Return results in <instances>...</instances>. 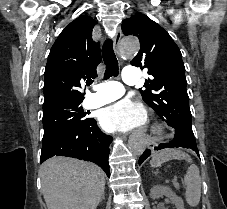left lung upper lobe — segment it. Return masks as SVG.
I'll return each instance as SVG.
<instances>
[{
    "label": "left lung upper lobe",
    "instance_id": "left-lung-upper-lobe-1",
    "mask_svg": "<svg viewBox=\"0 0 227 209\" xmlns=\"http://www.w3.org/2000/svg\"><path fill=\"white\" fill-rule=\"evenodd\" d=\"M124 35L139 38L140 50L131 65L148 69L142 98L158 116L185 138L196 142L191 126L182 55L171 36L156 22L138 13L122 24Z\"/></svg>",
    "mask_w": 227,
    "mask_h": 209
}]
</instances>
